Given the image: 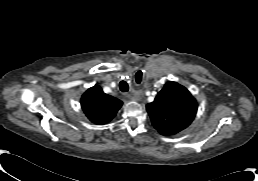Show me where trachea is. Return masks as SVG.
Here are the masks:
<instances>
[{
  "label": "trachea",
  "instance_id": "trachea-1",
  "mask_svg": "<svg viewBox=\"0 0 258 181\" xmlns=\"http://www.w3.org/2000/svg\"><path fill=\"white\" fill-rule=\"evenodd\" d=\"M119 87L122 92H127L129 90V86L125 81H121Z\"/></svg>",
  "mask_w": 258,
  "mask_h": 181
}]
</instances>
